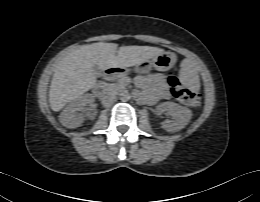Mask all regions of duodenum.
Returning a JSON list of instances; mask_svg holds the SVG:
<instances>
[{
	"instance_id": "1",
	"label": "duodenum",
	"mask_w": 260,
	"mask_h": 202,
	"mask_svg": "<svg viewBox=\"0 0 260 202\" xmlns=\"http://www.w3.org/2000/svg\"><path fill=\"white\" fill-rule=\"evenodd\" d=\"M123 75V70L116 68V67H112L109 68L106 72H105V79L106 80H111L114 79L116 77H120ZM96 90H100V85H97Z\"/></svg>"
}]
</instances>
